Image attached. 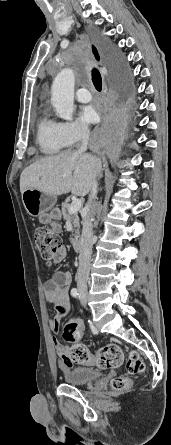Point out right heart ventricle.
I'll use <instances>...</instances> for the list:
<instances>
[{
    "mask_svg": "<svg viewBox=\"0 0 171 445\" xmlns=\"http://www.w3.org/2000/svg\"><path fill=\"white\" fill-rule=\"evenodd\" d=\"M37 143L45 154H57L67 146L58 123L47 115H43L37 125Z\"/></svg>",
    "mask_w": 171,
    "mask_h": 445,
    "instance_id": "1",
    "label": "right heart ventricle"
}]
</instances>
